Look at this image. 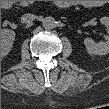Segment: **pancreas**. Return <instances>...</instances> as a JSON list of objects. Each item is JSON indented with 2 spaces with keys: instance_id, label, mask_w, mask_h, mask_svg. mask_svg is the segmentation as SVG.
Segmentation results:
<instances>
[{
  "instance_id": "pancreas-1",
  "label": "pancreas",
  "mask_w": 109,
  "mask_h": 109,
  "mask_svg": "<svg viewBox=\"0 0 109 109\" xmlns=\"http://www.w3.org/2000/svg\"><path fill=\"white\" fill-rule=\"evenodd\" d=\"M21 5H27L29 3H26V2H20Z\"/></svg>"
}]
</instances>
